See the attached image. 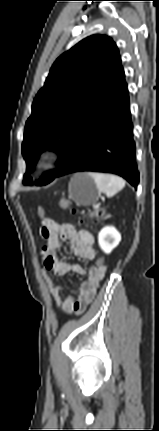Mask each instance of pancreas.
Wrapping results in <instances>:
<instances>
[{"label":"pancreas","mask_w":159,"mask_h":431,"mask_svg":"<svg viewBox=\"0 0 159 431\" xmlns=\"http://www.w3.org/2000/svg\"><path fill=\"white\" fill-rule=\"evenodd\" d=\"M90 216H96V217H98V214H91Z\"/></svg>","instance_id":"obj_1"}]
</instances>
